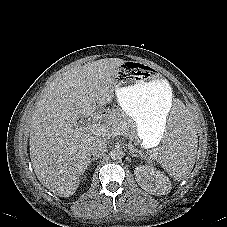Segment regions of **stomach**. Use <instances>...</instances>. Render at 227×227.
<instances>
[{
	"label": "stomach",
	"instance_id": "0dacf381",
	"mask_svg": "<svg viewBox=\"0 0 227 227\" xmlns=\"http://www.w3.org/2000/svg\"><path fill=\"white\" fill-rule=\"evenodd\" d=\"M114 88L121 110L135 123L142 146L157 144L172 104L168 81L147 64L128 62L119 69Z\"/></svg>",
	"mask_w": 227,
	"mask_h": 227
}]
</instances>
